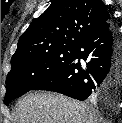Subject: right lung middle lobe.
Returning <instances> with one entry per match:
<instances>
[{"label": "right lung middle lobe", "instance_id": "dd1d6c3e", "mask_svg": "<svg viewBox=\"0 0 122 123\" xmlns=\"http://www.w3.org/2000/svg\"><path fill=\"white\" fill-rule=\"evenodd\" d=\"M77 49H63L30 56L11 63L6 78L7 92L4 103L16 99L54 76L75 58Z\"/></svg>", "mask_w": 122, "mask_h": 123}]
</instances>
